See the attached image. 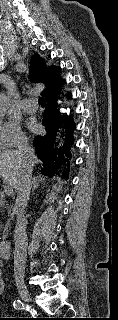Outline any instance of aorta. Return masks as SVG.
Returning a JSON list of instances; mask_svg holds the SVG:
<instances>
[{
	"mask_svg": "<svg viewBox=\"0 0 118 320\" xmlns=\"http://www.w3.org/2000/svg\"><path fill=\"white\" fill-rule=\"evenodd\" d=\"M9 105V96L7 94H0V116L5 115Z\"/></svg>",
	"mask_w": 118,
	"mask_h": 320,
	"instance_id": "aorta-1",
	"label": "aorta"
}]
</instances>
